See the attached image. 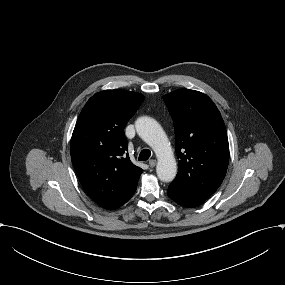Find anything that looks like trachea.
<instances>
[{
  "mask_svg": "<svg viewBox=\"0 0 285 285\" xmlns=\"http://www.w3.org/2000/svg\"><path fill=\"white\" fill-rule=\"evenodd\" d=\"M151 155V151L148 149H144L140 152L138 160L140 161H146Z\"/></svg>",
  "mask_w": 285,
  "mask_h": 285,
  "instance_id": "1",
  "label": "trachea"
}]
</instances>
